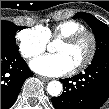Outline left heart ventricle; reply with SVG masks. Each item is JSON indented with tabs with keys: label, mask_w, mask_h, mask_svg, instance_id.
I'll return each instance as SVG.
<instances>
[{
	"label": "left heart ventricle",
	"mask_w": 109,
	"mask_h": 109,
	"mask_svg": "<svg viewBox=\"0 0 109 109\" xmlns=\"http://www.w3.org/2000/svg\"><path fill=\"white\" fill-rule=\"evenodd\" d=\"M56 51L59 54H63L71 62L73 67H75L81 64L88 56L90 40L87 36H84L71 45L59 42Z\"/></svg>",
	"instance_id": "b2bd125f"
}]
</instances>
